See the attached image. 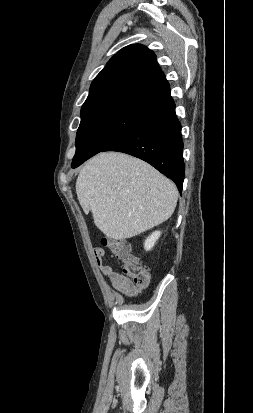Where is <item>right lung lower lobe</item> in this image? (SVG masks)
<instances>
[{"label":"right lung lower lobe","instance_id":"right-lung-lower-lobe-1","mask_svg":"<svg viewBox=\"0 0 253 413\" xmlns=\"http://www.w3.org/2000/svg\"><path fill=\"white\" fill-rule=\"evenodd\" d=\"M182 150L181 125L173 102L152 113L139 127L104 151L123 152L148 162L173 180L181 192L185 177Z\"/></svg>","mask_w":253,"mask_h":413}]
</instances>
